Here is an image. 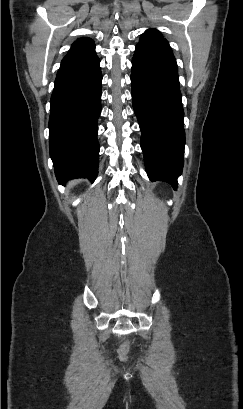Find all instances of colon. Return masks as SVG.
Returning <instances> with one entry per match:
<instances>
[{
  "instance_id": "5ec220e1",
  "label": "colon",
  "mask_w": 243,
  "mask_h": 409,
  "mask_svg": "<svg viewBox=\"0 0 243 409\" xmlns=\"http://www.w3.org/2000/svg\"><path fill=\"white\" fill-rule=\"evenodd\" d=\"M129 351H130V343L129 342L123 343L118 350V357L122 360L126 359Z\"/></svg>"
}]
</instances>
